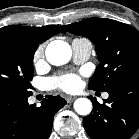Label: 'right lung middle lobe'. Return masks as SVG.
I'll use <instances>...</instances> for the list:
<instances>
[{"instance_id": "obj_1", "label": "right lung middle lobe", "mask_w": 139, "mask_h": 139, "mask_svg": "<svg viewBox=\"0 0 139 139\" xmlns=\"http://www.w3.org/2000/svg\"><path fill=\"white\" fill-rule=\"evenodd\" d=\"M37 45L14 37H0V93L30 96L33 56Z\"/></svg>"}]
</instances>
